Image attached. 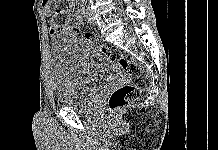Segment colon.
<instances>
[{"instance_id": "obj_1", "label": "colon", "mask_w": 218, "mask_h": 150, "mask_svg": "<svg viewBox=\"0 0 218 150\" xmlns=\"http://www.w3.org/2000/svg\"><path fill=\"white\" fill-rule=\"evenodd\" d=\"M68 33L76 35L80 32V26L77 20L69 16L65 22ZM85 40L97 47L106 55L109 61L117 63L122 70L132 78H139L142 74L140 66L132 60L125 58L117 49H111L99 42L98 38L92 32L85 33ZM140 93L138 86L133 84H123L116 87L108 97V106L111 111H115L128 103L134 101Z\"/></svg>"}]
</instances>
